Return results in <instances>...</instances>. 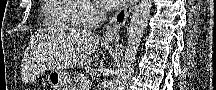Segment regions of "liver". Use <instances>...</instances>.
Wrapping results in <instances>:
<instances>
[{"instance_id":"6515ba94","label":"liver","mask_w":216,"mask_h":90,"mask_svg":"<svg viewBox=\"0 0 216 90\" xmlns=\"http://www.w3.org/2000/svg\"><path fill=\"white\" fill-rule=\"evenodd\" d=\"M100 40V36H96L94 32L81 30V28H68L64 44L63 62L65 68H76V66L85 68L88 66L91 62L89 56L95 48H98Z\"/></svg>"}]
</instances>
